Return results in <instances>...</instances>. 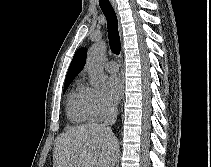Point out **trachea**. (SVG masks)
<instances>
[{
    "instance_id": "trachea-1",
    "label": "trachea",
    "mask_w": 211,
    "mask_h": 167,
    "mask_svg": "<svg viewBox=\"0 0 211 167\" xmlns=\"http://www.w3.org/2000/svg\"><path fill=\"white\" fill-rule=\"evenodd\" d=\"M99 5L107 20L110 49L115 55H120L121 43L116 13L109 0H99Z\"/></svg>"
}]
</instances>
